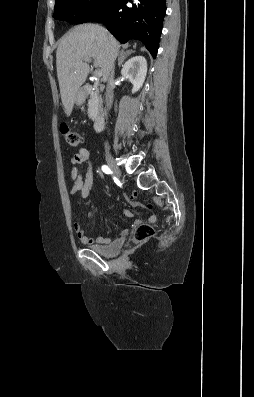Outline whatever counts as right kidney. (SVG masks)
Masks as SVG:
<instances>
[{"mask_svg": "<svg viewBox=\"0 0 254 397\" xmlns=\"http://www.w3.org/2000/svg\"><path fill=\"white\" fill-rule=\"evenodd\" d=\"M147 74V61L143 56L129 59L121 70V75L133 84L132 93L137 92L143 85Z\"/></svg>", "mask_w": 254, "mask_h": 397, "instance_id": "right-kidney-1", "label": "right kidney"}]
</instances>
